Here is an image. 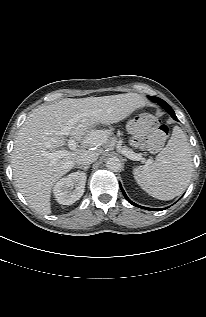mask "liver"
Returning a JSON list of instances; mask_svg holds the SVG:
<instances>
[{
	"label": "liver",
	"mask_w": 206,
	"mask_h": 317,
	"mask_svg": "<svg viewBox=\"0 0 206 317\" xmlns=\"http://www.w3.org/2000/svg\"><path fill=\"white\" fill-rule=\"evenodd\" d=\"M144 99L136 93L63 99L34 109L19 129L11 156L13 178L21 194L38 213H51V190L55 182L69 172L79 156L87 152L98 155L87 146L103 144L105 138L91 136L88 132L95 125H109L127 118L143 107ZM71 120L69 135L82 140L83 146L67 156L50 160L47 154L65 145L66 136L59 132Z\"/></svg>",
	"instance_id": "6515ba94"
}]
</instances>
